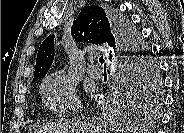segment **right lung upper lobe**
<instances>
[{
  "instance_id": "cb5924a9",
  "label": "right lung upper lobe",
  "mask_w": 184,
  "mask_h": 133,
  "mask_svg": "<svg viewBox=\"0 0 184 133\" xmlns=\"http://www.w3.org/2000/svg\"><path fill=\"white\" fill-rule=\"evenodd\" d=\"M71 33L76 42L96 45L107 43L114 50L118 49V37L114 31L110 14L98 5L86 6L81 10L73 22ZM53 59L54 36L50 35L39 48L33 81L45 77Z\"/></svg>"
}]
</instances>
